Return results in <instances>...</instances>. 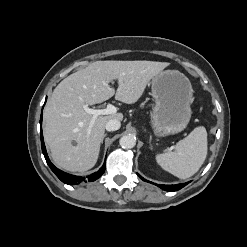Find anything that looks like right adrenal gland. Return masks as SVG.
Listing matches in <instances>:
<instances>
[{
  "instance_id": "obj_1",
  "label": "right adrenal gland",
  "mask_w": 247,
  "mask_h": 247,
  "mask_svg": "<svg viewBox=\"0 0 247 247\" xmlns=\"http://www.w3.org/2000/svg\"><path fill=\"white\" fill-rule=\"evenodd\" d=\"M106 135H107V134H104V136H103V138H102V140H101V144H103V140H104V138L106 137Z\"/></svg>"
}]
</instances>
